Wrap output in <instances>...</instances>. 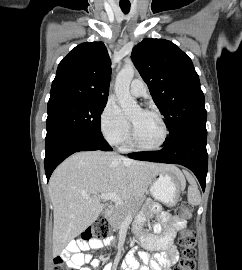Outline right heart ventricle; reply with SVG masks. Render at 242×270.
<instances>
[{
    "label": "right heart ventricle",
    "mask_w": 242,
    "mask_h": 270,
    "mask_svg": "<svg viewBox=\"0 0 242 270\" xmlns=\"http://www.w3.org/2000/svg\"><path fill=\"white\" fill-rule=\"evenodd\" d=\"M130 147H131V145H130L129 141L127 140V141L125 142L124 149H128V148H130Z\"/></svg>",
    "instance_id": "e07e8e85"
}]
</instances>
